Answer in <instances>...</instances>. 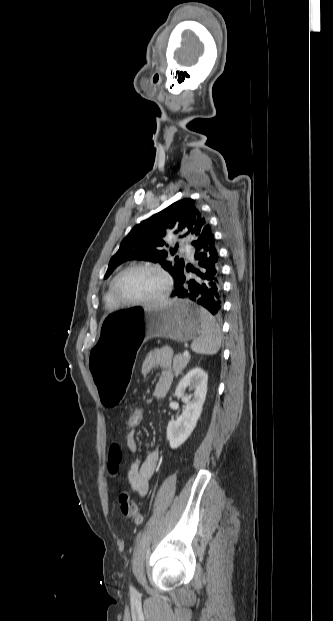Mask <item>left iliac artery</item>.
<instances>
[{"label":"left iliac artery","instance_id":"obj_1","mask_svg":"<svg viewBox=\"0 0 333 621\" xmlns=\"http://www.w3.org/2000/svg\"><path fill=\"white\" fill-rule=\"evenodd\" d=\"M130 589H131V590H133V587H132V586H130Z\"/></svg>","mask_w":333,"mask_h":621}]
</instances>
